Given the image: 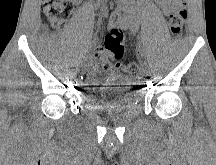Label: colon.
<instances>
[{"instance_id":"1","label":"colon","mask_w":216,"mask_h":165,"mask_svg":"<svg viewBox=\"0 0 216 165\" xmlns=\"http://www.w3.org/2000/svg\"><path fill=\"white\" fill-rule=\"evenodd\" d=\"M77 0H42V10L47 21L57 30H63L67 22L75 12V2ZM187 10L177 8L173 10L167 18L170 31L173 35H178L187 19ZM124 55V34L120 28L114 27L105 36L104 48L101 52H95L93 63L98 70H106L111 65L116 68L123 67L122 58ZM125 70L136 75L139 72V65L131 62L126 65Z\"/></svg>"}]
</instances>
